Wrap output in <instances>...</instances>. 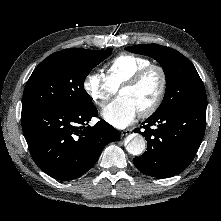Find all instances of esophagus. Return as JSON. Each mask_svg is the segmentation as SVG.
Returning a JSON list of instances; mask_svg holds the SVG:
<instances>
[{
  "label": "esophagus",
  "instance_id": "1",
  "mask_svg": "<svg viewBox=\"0 0 221 221\" xmlns=\"http://www.w3.org/2000/svg\"><path fill=\"white\" fill-rule=\"evenodd\" d=\"M132 130L131 129H125L121 131V136H126L131 134Z\"/></svg>",
  "mask_w": 221,
  "mask_h": 221
}]
</instances>
